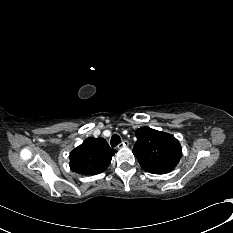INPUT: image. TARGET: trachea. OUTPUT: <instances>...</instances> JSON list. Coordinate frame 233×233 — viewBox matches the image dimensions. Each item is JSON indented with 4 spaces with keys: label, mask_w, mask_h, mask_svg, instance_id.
<instances>
[{
    "label": "trachea",
    "mask_w": 233,
    "mask_h": 233,
    "mask_svg": "<svg viewBox=\"0 0 233 233\" xmlns=\"http://www.w3.org/2000/svg\"><path fill=\"white\" fill-rule=\"evenodd\" d=\"M121 142L120 140V137L117 135V134H114L112 137H111V146L112 147H115L117 146L119 143Z\"/></svg>",
    "instance_id": "obj_1"
}]
</instances>
